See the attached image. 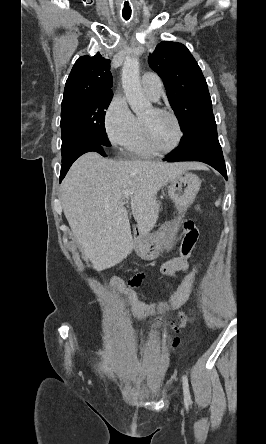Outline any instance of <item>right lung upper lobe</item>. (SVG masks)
<instances>
[{
	"instance_id": "obj_1",
	"label": "right lung upper lobe",
	"mask_w": 266,
	"mask_h": 444,
	"mask_svg": "<svg viewBox=\"0 0 266 444\" xmlns=\"http://www.w3.org/2000/svg\"><path fill=\"white\" fill-rule=\"evenodd\" d=\"M110 60L97 53L81 56L66 81L62 102L102 93H112Z\"/></svg>"
}]
</instances>
